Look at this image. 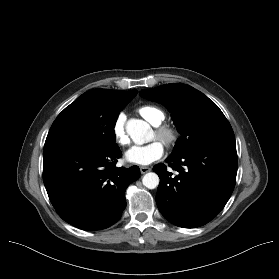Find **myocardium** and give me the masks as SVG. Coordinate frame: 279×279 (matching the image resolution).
<instances>
[{
  "mask_svg": "<svg viewBox=\"0 0 279 279\" xmlns=\"http://www.w3.org/2000/svg\"><path fill=\"white\" fill-rule=\"evenodd\" d=\"M155 136L168 147L174 146L179 138L178 131L166 124L156 126Z\"/></svg>",
  "mask_w": 279,
  "mask_h": 279,
  "instance_id": "f54148a6",
  "label": "myocardium"
}]
</instances>
